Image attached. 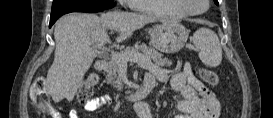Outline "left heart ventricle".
<instances>
[{
	"instance_id": "left-heart-ventricle-1",
	"label": "left heart ventricle",
	"mask_w": 273,
	"mask_h": 118,
	"mask_svg": "<svg viewBox=\"0 0 273 118\" xmlns=\"http://www.w3.org/2000/svg\"><path fill=\"white\" fill-rule=\"evenodd\" d=\"M192 8H193L194 10H200V9L203 8V6H202V4L199 3V2H194V3L192 4Z\"/></svg>"
}]
</instances>
